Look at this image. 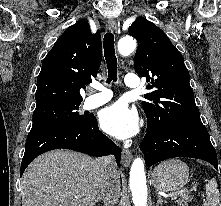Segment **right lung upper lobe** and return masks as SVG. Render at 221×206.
Masks as SVG:
<instances>
[{
    "instance_id": "cb5924a9",
    "label": "right lung upper lobe",
    "mask_w": 221,
    "mask_h": 206,
    "mask_svg": "<svg viewBox=\"0 0 221 206\" xmlns=\"http://www.w3.org/2000/svg\"><path fill=\"white\" fill-rule=\"evenodd\" d=\"M101 36L87 21L68 27L46 55L37 78L36 107L81 103L80 89L96 77L101 63Z\"/></svg>"
}]
</instances>
